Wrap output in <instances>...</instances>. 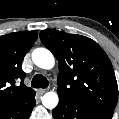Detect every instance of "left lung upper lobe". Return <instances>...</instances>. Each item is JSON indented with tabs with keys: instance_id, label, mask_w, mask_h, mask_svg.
<instances>
[{
	"instance_id": "1",
	"label": "left lung upper lobe",
	"mask_w": 119,
	"mask_h": 119,
	"mask_svg": "<svg viewBox=\"0 0 119 119\" xmlns=\"http://www.w3.org/2000/svg\"><path fill=\"white\" fill-rule=\"evenodd\" d=\"M40 38L58 60V95L83 106L114 110L118 86L110 59L92 39L48 29Z\"/></svg>"
}]
</instances>
